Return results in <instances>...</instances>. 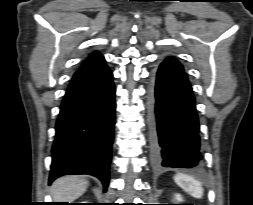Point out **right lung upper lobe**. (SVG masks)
I'll list each match as a JSON object with an SVG mask.
<instances>
[{"mask_svg":"<svg viewBox=\"0 0 253 205\" xmlns=\"http://www.w3.org/2000/svg\"><path fill=\"white\" fill-rule=\"evenodd\" d=\"M102 59H104V58H103V56L99 52H92L89 55L88 59L83 63V65H82L81 68L89 66V65H92L95 62L100 61Z\"/></svg>","mask_w":253,"mask_h":205,"instance_id":"obj_1","label":"right lung upper lobe"}]
</instances>
